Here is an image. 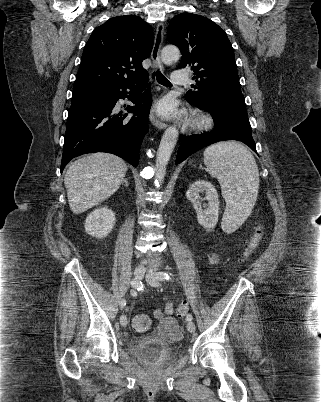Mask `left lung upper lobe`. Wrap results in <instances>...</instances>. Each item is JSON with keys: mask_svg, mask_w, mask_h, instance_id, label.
<instances>
[{"mask_svg": "<svg viewBox=\"0 0 321 402\" xmlns=\"http://www.w3.org/2000/svg\"><path fill=\"white\" fill-rule=\"evenodd\" d=\"M167 38L182 53L181 67L194 71L195 90L186 93L189 103L202 106L216 95L242 94L234 51L220 26L203 16L183 13L171 20Z\"/></svg>", "mask_w": 321, "mask_h": 402, "instance_id": "obj_1", "label": "left lung upper lobe"}]
</instances>
